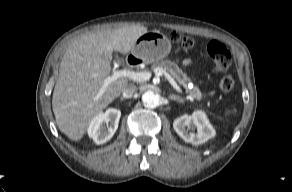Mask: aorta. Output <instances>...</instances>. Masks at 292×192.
Returning <instances> with one entry per match:
<instances>
[{
	"mask_svg": "<svg viewBox=\"0 0 292 192\" xmlns=\"http://www.w3.org/2000/svg\"><path fill=\"white\" fill-rule=\"evenodd\" d=\"M142 101L146 107L155 108L159 105V96L149 90L142 95Z\"/></svg>",
	"mask_w": 292,
	"mask_h": 192,
	"instance_id": "1",
	"label": "aorta"
}]
</instances>
